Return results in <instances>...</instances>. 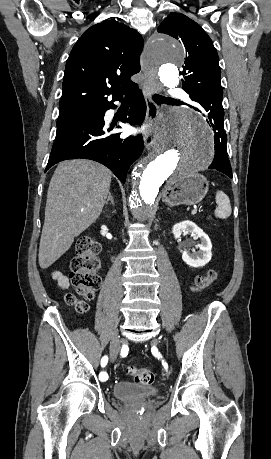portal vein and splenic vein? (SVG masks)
<instances>
[{"mask_svg": "<svg viewBox=\"0 0 271 459\" xmlns=\"http://www.w3.org/2000/svg\"><path fill=\"white\" fill-rule=\"evenodd\" d=\"M196 212H197V210H196V209H193L192 214H196Z\"/></svg>", "mask_w": 271, "mask_h": 459, "instance_id": "1", "label": "portal vein and splenic vein"}]
</instances>
